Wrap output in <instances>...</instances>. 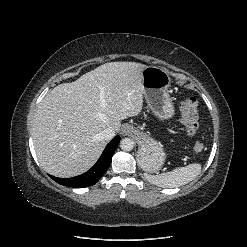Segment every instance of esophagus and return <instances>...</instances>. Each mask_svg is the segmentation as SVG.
<instances>
[{
    "label": "esophagus",
    "mask_w": 247,
    "mask_h": 247,
    "mask_svg": "<svg viewBox=\"0 0 247 247\" xmlns=\"http://www.w3.org/2000/svg\"><path fill=\"white\" fill-rule=\"evenodd\" d=\"M132 132V129L129 126H123L121 129V133L126 136L129 135Z\"/></svg>",
    "instance_id": "esophagus-1"
}]
</instances>
